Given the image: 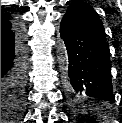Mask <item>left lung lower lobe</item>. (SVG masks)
<instances>
[{"label":"left lung lower lobe","instance_id":"1","mask_svg":"<svg viewBox=\"0 0 122 123\" xmlns=\"http://www.w3.org/2000/svg\"><path fill=\"white\" fill-rule=\"evenodd\" d=\"M63 84L72 100L110 102L114 99L110 51L106 36L87 23L65 14Z\"/></svg>","mask_w":122,"mask_h":123}]
</instances>
